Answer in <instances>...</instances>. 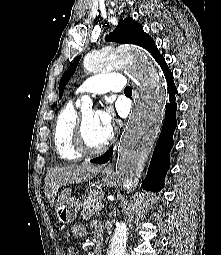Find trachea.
Here are the masks:
<instances>
[{"label": "trachea", "instance_id": "3493384b", "mask_svg": "<svg viewBox=\"0 0 221 255\" xmlns=\"http://www.w3.org/2000/svg\"><path fill=\"white\" fill-rule=\"evenodd\" d=\"M124 92H125V94H130V93H132L131 87L127 86V87L125 88Z\"/></svg>", "mask_w": 221, "mask_h": 255}]
</instances>
